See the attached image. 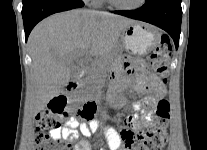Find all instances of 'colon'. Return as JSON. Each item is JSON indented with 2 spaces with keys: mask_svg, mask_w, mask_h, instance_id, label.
I'll return each instance as SVG.
<instances>
[{
  "mask_svg": "<svg viewBox=\"0 0 207 150\" xmlns=\"http://www.w3.org/2000/svg\"><path fill=\"white\" fill-rule=\"evenodd\" d=\"M170 52V40L167 36H162L156 48L150 53L151 65L162 81H166L168 76ZM154 86H157V80H154ZM156 103V99H149L147 106L155 107ZM49 104V109L41 111L36 117L37 150H72L70 144L61 143L47 133L61 127L66 117L65 105H69V100H66L64 96H59L50 100ZM94 111V107L84 108L79 114L85 119H90ZM169 119L170 105L168 101L161 99L157 103L152 126L147 132H141L136 137L130 130L123 131V149L162 150L168 142Z\"/></svg>",
  "mask_w": 207,
  "mask_h": 150,
  "instance_id": "colon-1",
  "label": "colon"
}]
</instances>
